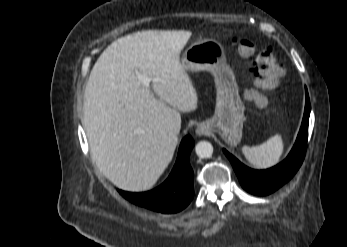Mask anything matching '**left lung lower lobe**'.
<instances>
[{
    "mask_svg": "<svg viewBox=\"0 0 347 247\" xmlns=\"http://www.w3.org/2000/svg\"><path fill=\"white\" fill-rule=\"evenodd\" d=\"M310 100L306 91V105L302 125L296 142L287 158L267 170H253L243 165L233 155L223 150L230 160L242 187L248 192L265 196L273 193L287 183L300 168L307 146Z\"/></svg>",
    "mask_w": 347,
    "mask_h": 247,
    "instance_id": "1",
    "label": "left lung lower lobe"
}]
</instances>
